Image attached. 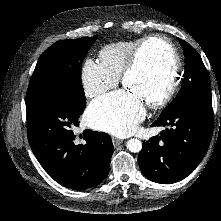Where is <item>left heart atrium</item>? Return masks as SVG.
<instances>
[{
  "label": "left heart atrium",
  "mask_w": 221,
  "mask_h": 221,
  "mask_svg": "<svg viewBox=\"0 0 221 221\" xmlns=\"http://www.w3.org/2000/svg\"><path fill=\"white\" fill-rule=\"evenodd\" d=\"M145 116L144 103L128 89L111 92L91 103L88 122L118 137L132 134Z\"/></svg>",
  "instance_id": "left-heart-atrium-1"
}]
</instances>
